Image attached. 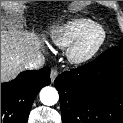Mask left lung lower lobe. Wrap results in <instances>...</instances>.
<instances>
[{
  "instance_id": "1",
  "label": "left lung lower lobe",
  "mask_w": 123,
  "mask_h": 123,
  "mask_svg": "<svg viewBox=\"0 0 123 123\" xmlns=\"http://www.w3.org/2000/svg\"><path fill=\"white\" fill-rule=\"evenodd\" d=\"M55 87L63 123H123V48L63 72Z\"/></svg>"
}]
</instances>
